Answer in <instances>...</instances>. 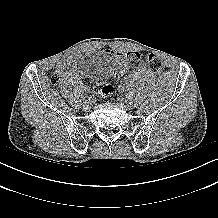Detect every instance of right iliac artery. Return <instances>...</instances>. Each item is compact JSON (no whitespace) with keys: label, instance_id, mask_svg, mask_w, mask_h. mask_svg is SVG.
<instances>
[{"label":"right iliac artery","instance_id":"obj_1","mask_svg":"<svg viewBox=\"0 0 218 218\" xmlns=\"http://www.w3.org/2000/svg\"><path fill=\"white\" fill-rule=\"evenodd\" d=\"M88 96H89V97H93V96H94V93H93V92H90Z\"/></svg>","mask_w":218,"mask_h":218}]
</instances>
